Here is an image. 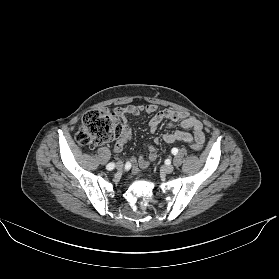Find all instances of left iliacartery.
<instances>
[{"instance_id":"1","label":"left iliac artery","mask_w":279,"mask_h":279,"mask_svg":"<svg viewBox=\"0 0 279 279\" xmlns=\"http://www.w3.org/2000/svg\"><path fill=\"white\" fill-rule=\"evenodd\" d=\"M171 152H172L173 155H176L178 153V149L177 148H173L171 150Z\"/></svg>"}]
</instances>
